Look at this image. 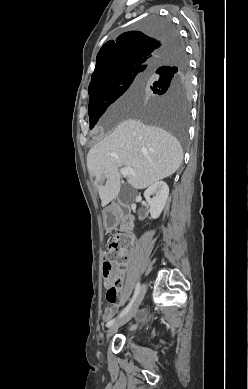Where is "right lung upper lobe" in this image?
Returning <instances> with one entry per match:
<instances>
[{"mask_svg":"<svg viewBox=\"0 0 248 389\" xmlns=\"http://www.w3.org/2000/svg\"><path fill=\"white\" fill-rule=\"evenodd\" d=\"M176 48H179L177 35L152 37L140 31L123 33L115 41L106 42L97 54L89 91L105 82L113 72L137 67L149 70Z\"/></svg>","mask_w":248,"mask_h":389,"instance_id":"obj_1","label":"right lung upper lobe"}]
</instances>
